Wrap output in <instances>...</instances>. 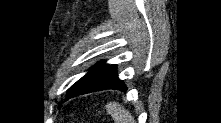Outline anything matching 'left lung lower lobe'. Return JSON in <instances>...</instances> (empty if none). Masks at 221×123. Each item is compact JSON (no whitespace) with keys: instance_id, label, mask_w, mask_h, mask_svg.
Masks as SVG:
<instances>
[{"instance_id":"0a47b994","label":"left lung lower lobe","mask_w":221,"mask_h":123,"mask_svg":"<svg viewBox=\"0 0 221 123\" xmlns=\"http://www.w3.org/2000/svg\"><path fill=\"white\" fill-rule=\"evenodd\" d=\"M115 69L116 65H108L88 80L82 87L74 91L68 98L106 89H117L125 92L127 87L125 83L118 78Z\"/></svg>"}]
</instances>
